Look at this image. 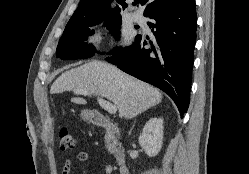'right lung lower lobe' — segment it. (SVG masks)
Instances as JSON below:
<instances>
[{"mask_svg": "<svg viewBox=\"0 0 249 174\" xmlns=\"http://www.w3.org/2000/svg\"><path fill=\"white\" fill-rule=\"evenodd\" d=\"M148 22L155 41L151 49L141 36L136 44L123 48L107 60L124 72L166 92L177 105L181 116L187 111L196 42L197 14L195 0L154 12Z\"/></svg>", "mask_w": 249, "mask_h": 174, "instance_id": "obj_1", "label": "right lung lower lobe"}]
</instances>
